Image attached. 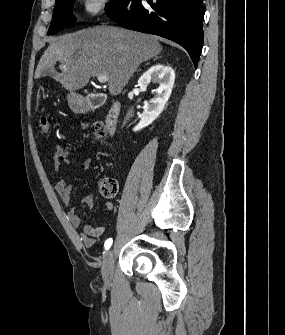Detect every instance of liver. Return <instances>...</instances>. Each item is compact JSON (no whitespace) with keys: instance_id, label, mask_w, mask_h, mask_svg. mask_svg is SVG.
<instances>
[{"instance_id":"liver-1","label":"liver","mask_w":285,"mask_h":335,"mask_svg":"<svg viewBox=\"0 0 285 335\" xmlns=\"http://www.w3.org/2000/svg\"><path fill=\"white\" fill-rule=\"evenodd\" d=\"M37 68L36 78L59 62L58 82L65 90L84 88L90 78L108 76L110 96H118L142 62L158 58L162 46L156 36L113 26H95L49 40Z\"/></svg>"}]
</instances>
